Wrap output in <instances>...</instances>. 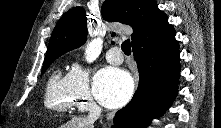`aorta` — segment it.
<instances>
[{"instance_id": "obj_1", "label": "aorta", "mask_w": 221, "mask_h": 128, "mask_svg": "<svg viewBox=\"0 0 221 128\" xmlns=\"http://www.w3.org/2000/svg\"><path fill=\"white\" fill-rule=\"evenodd\" d=\"M103 47V40L101 38L91 40L85 48V60L91 63L100 55Z\"/></svg>"}]
</instances>
